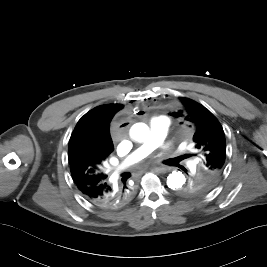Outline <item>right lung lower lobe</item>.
I'll return each instance as SVG.
<instances>
[{
    "label": "right lung lower lobe",
    "mask_w": 267,
    "mask_h": 267,
    "mask_svg": "<svg viewBox=\"0 0 267 267\" xmlns=\"http://www.w3.org/2000/svg\"><path fill=\"white\" fill-rule=\"evenodd\" d=\"M79 190L91 203L106 209L119 208L125 205L132 196L131 190L126 184L117 187L109 184L107 180Z\"/></svg>",
    "instance_id": "right-lung-lower-lobe-1"
}]
</instances>
